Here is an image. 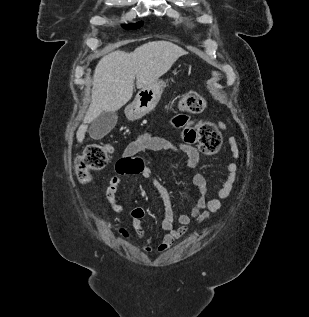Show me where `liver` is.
<instances>
[{"label":"liver","mask_w":309,"mask_h":317,"mask_svg":"<svg viewBox=\"0 0 309 317\" xmlns=\"http://www.w3.org/2000/svg\"><path fill=\"white\" fill-rule=\"evenodd\" d=\"M187 52L168 41H152L133 52L114 51L98 62L93 75L91 103L76 138L82 142L90 124L102 112H115L132 97L134 82L142 89L164 75Z\"/></svg>","instance_id":"6515ba94"}]
</instances>
